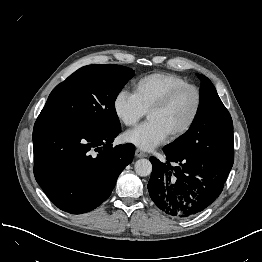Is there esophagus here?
<instances>
[{"mask_svg":"<svg viewBox=\"0 0 262 262\" xmlns=\"http://www.w3.org/2000/svg\"><path fill=\"white\" fill-rule=\"evenodd\" d=\"M135 156L137 158H143V157H147L148 155H147V153L141 151L140 149H136L135 150Z\"/></svg>","mask_w":262,"mask_h":262,"instance_id":"esophagus-1","label":"esophagus"}]
</instances>
